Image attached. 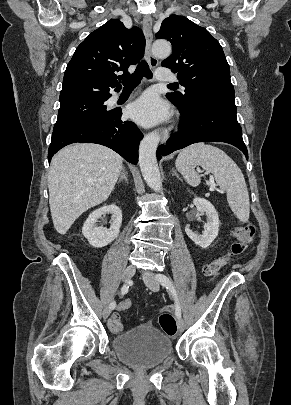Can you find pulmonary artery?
I'll return each instance as SVG.
<instances>
[{
  "label": "pulmonary artery",
  "instance_id": "1",
  "mask_svg": "<svg viewBox=\"0 0 291 405\" xmlns=\"http://www.w3.org/2000/svg\"><path fill=\"white\" fill-rule=\"evenodd\" d=\"M156 79L159 81H176V75L166 68H159L156 71ZM118 94L114 98H118Z\"/></svg>",
  "mask_w": 291,
  "mask_h": 405
}]
</instances>
